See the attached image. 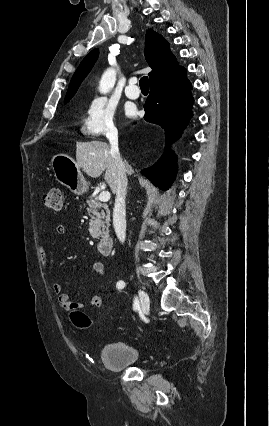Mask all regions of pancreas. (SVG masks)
Returning <instances> with one entry per match:
<instances>
[{"mask_svg": "<svg viewBox=\"0 0 269 426\" xmlns=\"http://www.w3.org/2000/svg\"><path fill=\"white\" fill-rule=\"evenodd\" d=\"M88 214L91 217L89 222V232L93 238H99L101 227L108 228L110 222V210L105 203L99 200L98 196L92 195L86 201Z\"/></svg>", "mask_w": 269, "mask_h": 426, "instance_id": "obj_1", "label": "pancreas"}]
</instances>
